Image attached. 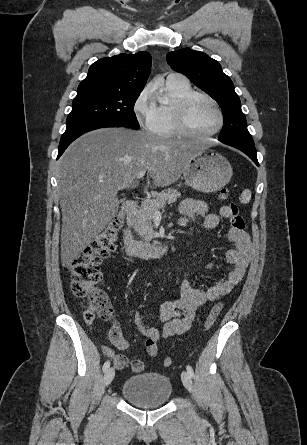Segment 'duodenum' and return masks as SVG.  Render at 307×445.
<instances>
[{"label": "duodenum", "instance_id": "410a0bca", "mask_svg": "<svg viewBox=\"0 0 307 445\" xmlns=\"http://www.w3.org/2000/svg\"><path fill=\"white\" fill-rule=\"evenodd\" d=\"M137 208V201L129 200L124 203L123 213L127 219L128 225L133 222ZM123 247L125 252L130 256H141L146 258H159L165 255L169 250L167 244H155L135 239L129 227L123 232Z\"/></svg>", "mask_w": 307, "mask_h": 445}]
</instances>
